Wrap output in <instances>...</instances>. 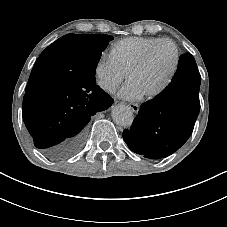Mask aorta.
I'll list each match as a JSON object with an SVG mask.
<instances>
[{
	"instance_id": "aorta-1",
	"label": "aorta",
	"mask_w": 227,
	"mask_h": 227,
	"mask_svg": "<svg viewBox=\"0 0 227 227\" xmlns=\"http://www.w3.org/2000/svg\"><path fill=\"white\" fill-rule=\"evenodd\" d=\"M112 119L119 126L129 127L133 122L134 115L130 107L118 105L112 110Z\"/></svg>"
}]
</instances>
